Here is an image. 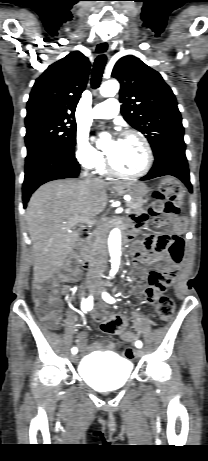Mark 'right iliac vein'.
I'll list each match as a JSON object with an SVG mask.
<instances>
[{
    "label": "right iliac vein",
    "mask_w": 208,
    "mask_h": 461,
    "mask_svg": "<svg viewBox=\"0 0 208 461\" xmlns=\"http://www.w3.org/2000/svg\"><path fill=\"white\" fill-rule=\"evenodd\" d=\"M71 360H72L73 363H77V361H78V356L75 355V354H74V355H71Z\"/></svg>",
    "instance_id": "63e3f726"
}]
</instances>
